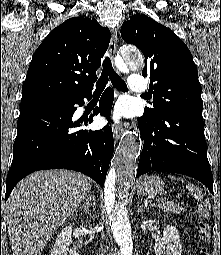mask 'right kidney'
<instances>
[{
	"label": "right kidney",
	"instance_id": "right-kidney-1",
	"mask_svg": "<svg viewBox=\"0 0 221 255\" xmlns=\"http://www.w3.org/2000/svg\"><path fill=\"white\" fill-rule=\"evenodd\" d=\"M72 236V226H65L57 235L51 255H79L74 248H69Z\"/></svg>",
	"mask_w": 221,
	"mask_h": 255
}]
</instances>
